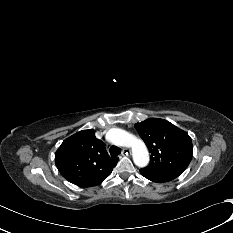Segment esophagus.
Wrapping results in <instances>:
<instances>
[{
    "label": "esophagus",
    "instance_id": "34e87169",
    "mask_svg": "<svg viewBox=\"0 0 233 233\" xmlns=\"http://www.w3.org/2000/svg\"><path fill=\"white\" fill-rule=\"evenodd\" d=\"M128 154H130V150L127 148L123 149L122 155H128Z\"/></svg>",
    "mask_w": 233,
    "mask_h": 233
}]
</instances>
